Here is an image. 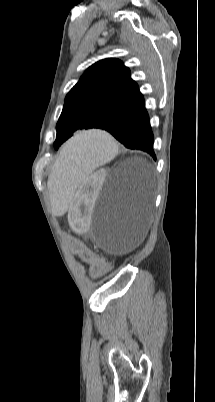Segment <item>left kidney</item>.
I'll return each mask as SVG.
<instances>
[{
  "mask_svg": "<svg viewBox=\"0 0 215 402\" xmlns=\"http://www.w3.org/2000/svg\"><path fill=\"white\" fill-rule=\"evenodd\" d=\"M106 169H98L97 174L92 175L90 182L82 184V191L74 197V202L69 214V223L73 226V233L82 237V232L89 230L88 222L92 221L91 203L95 202L97 193H100L102 178H106Z\"/></svg>",
  "mask_w": 215,
  "mask_h": 402,
  "instance_id": "1",
  "label": "left kidney"
}]
</instances>
